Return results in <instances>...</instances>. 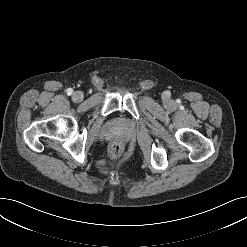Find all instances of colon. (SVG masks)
I'll list each match as a JSON object with an SVG mask.
<instances>
[{
    "instance_id": "obj_1",
    "label": "colon",
    "mask_w": 247,
    "mask_h": 247,
    "mask_svg": "<svg viewBox=\"0 0 247 247\" xmlns=\"http://www.w3.org/2000/svg\"><path fill=\"white\" fill-rule=\"evenodd\" d=\"M121 146L119 144H112L109 148V154L112 158H117L121 154Z\"/></svg>"
}]
</instances>
